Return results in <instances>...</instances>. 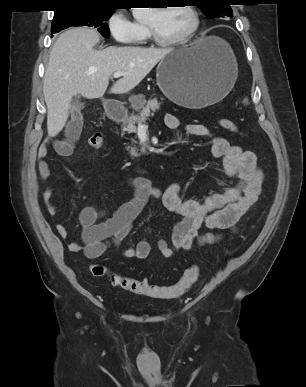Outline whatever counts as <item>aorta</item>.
Here are the masks:
<instances>
[{"instance_id":"aorta-1","label":"aorta","mask_w":306,"mask_h":387,"mask_svg":"<svg viewBox=\"0 0 306 387\" xmlns=\"http://www.w3.org/2000/svg\"><path fill=\"white\" fill-rule=\"evenodd\" d=\"M150 13L148 8H132V14L136 20H142Z\"/></svg>"}]
</instances>
